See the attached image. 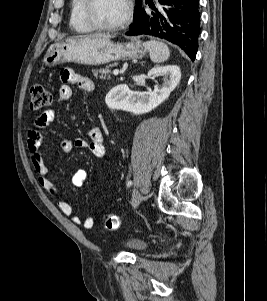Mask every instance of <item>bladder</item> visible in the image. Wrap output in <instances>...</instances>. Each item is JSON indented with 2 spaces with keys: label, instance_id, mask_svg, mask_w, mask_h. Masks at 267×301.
Returning <instances> with one entry per match:
<instances>
[{
  "label": "bladder",
  "instance_id": "31cf9c89",
  "mask_svg": "<svg viewBox=\"0 0 267 301\" xmlns=\"http://www.w3.org/2000/svg\"><path fill=\"white\" fill-rule=\"evenodd\" d=\"M122 244L129 251L134 253L143 252L148 248L147 241L137 237H127L122 241Z\"/></svg>",
  "mask_w": 267,
  "mask_h": 301
}]
</instances>
